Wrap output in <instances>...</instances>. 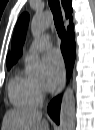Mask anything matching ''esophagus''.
Instances as JSON below:
<instances>
[{"label":"esophagus","instance_id":"1","mask_svg":"<svg viewBox=\"0 0 95 130\" xmlns=\"http://www.w3.org/2000/svg\"><path fill=\"white\" fill-rule=\"evenodd\" d=\"M62 12H63V16L65 17V13L63 10H62ZM65 83H66V74H64V76H63V78H62V80L57 88L56 95H59L62 92V90L65 86Z\"/></svg>","mask_w":95,"mask_h":130}]
</instances>
